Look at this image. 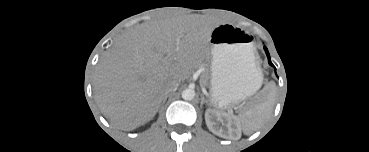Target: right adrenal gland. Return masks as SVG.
<instances>
[{
  "label": "right adrenal gland",
  "instance_id": "obj_1",
  "mask_svg": "<svg viewBox=\"0 0 369 152\" xmlns=\"http://www.w3.org/2000/svg\"><path fill=\"white\" fill-rule=\"evenodd\" d=\"M167 97H168L167 95L164 96V98L162 100V103L160 104V107L165 104V102L167 100Z\"/></svg>",
  "mask_w": 369,
  "mask_h": 152
}]
</instances>
